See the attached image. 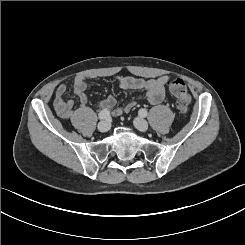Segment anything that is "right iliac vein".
Wrapping results in <instances>:
<instances>
[{"label": "right iliac vein", "mask_w": 245, "mask_h": 245, "mask_svg": "<svg viewBox=\"0 0 245 245\" xmlns=\"http://www.w3.org/2000/svg\"><path fill=\"white\" fill-rule=\"evenodd\" d=\"M110 129V123L107 121H102L98 124V130L101 133H105Z\"/></svg>", "instance_id": "1"}]
</instances>
